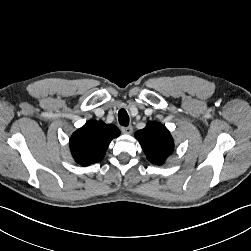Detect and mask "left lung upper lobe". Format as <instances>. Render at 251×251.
Segmentation results:
<instances>
[{
	"label": "left lung upper lobe",
	"mask_w": 251,
	"mask_h": 251,
	"mask_svg": "<svg viewBox=\"0 0 251 251\" xmlns=\"http://www.w3.org/2000/svg\"><path fill=\"white\" fill-rule=\"evenodd\" d=\"M147 159L161 165L171 155L174 149L173 138L166 127L157 122H149L142 130L135 133Z\"/></svg>",
	"instance_id": "5c2ea615"
}]
</instances>
